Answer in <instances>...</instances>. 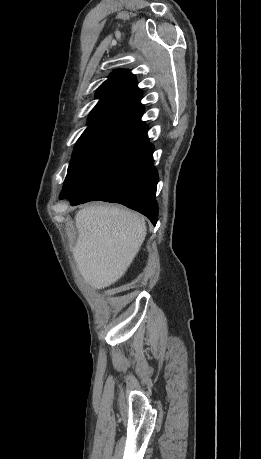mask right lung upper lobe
<instances>
[{"label": "right lung upper lobe", "mask_w": 261, "mask_h": 459, "mask_svg": "<svg viewBox=\"0 0 261 459\" xmlns=\"http://www.w3.org/2000/svg\"><path fill=\"white\" fill-rule=\"evenodd\" d=\"M100 101L91 111L89 126L82 136L104 128L145 126L141 121L144 111L140 103L142 91L130 71L116 70L96 92Z\"/></svg>", "instance_id": "cb5924a9"}]
</instances>
